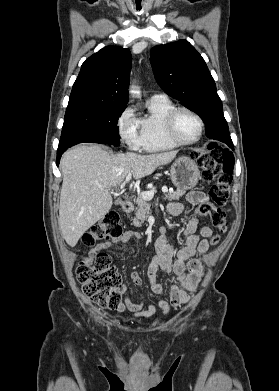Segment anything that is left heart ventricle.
I'll list each match as a JSON object with an SVG mask.
<instances>
[{
	"mask_svg": "<svg viewBox=\"0 0 279 391\" xmlns=\"http://www.w3.org/2000/svg\"><path fill=\"white\" fill-rule=\"evenodd\" d=\"M175 127L177 135L184 141L194 140L199 134V123L188 112L178 114Z\"/></svg>",
	"mask_w": 279,
	"mask_h": 391,
	"instance_id": "1",
	"label": "left heart ventricle"
}]
</instances>
